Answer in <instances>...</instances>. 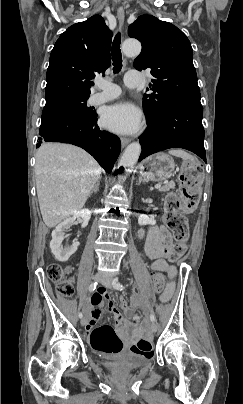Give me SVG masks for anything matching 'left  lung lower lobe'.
<instances>
[{
	"label": "left lung lower lobe",
	"instance_id": "left-lung-lower-lobe-1",
	"mask_svg": "<svg viewBox=\"0 0 243 404\" xmlns=\"http://www.w3.org/2000/svg\"><path fill=\"white\" fill-rule=\"evenodd\" d=\"M202 117V105L175 104L166 108L157 120L147 122L148 127L139 138L142 146L139 161L165 149L183 148L206 162Z\"/></svg>",
	"mask_w": 243,
	"mask_h": 404
}]
</instances>
